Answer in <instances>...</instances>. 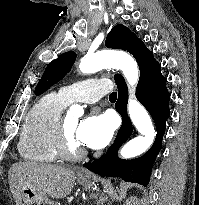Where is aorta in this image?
Here are the masks:
<instances>
[{
  "mask_svg": "<svg viewBox=\"0 0 199 205\" xmlns=\"http://www.w3.org/2000/svg\"><path fill=\"white\" fill-rule=\"evenodd\" d=\"M104 68L120 69L131 89H134L138 83V64L132 56L123 51L103 50L86 54L79 64V69L84 74L95 73ZM70 112L80 115L83 109L78 105H73ZM128 113L141 136L130 140L121 148L122 158H133L146 152L153 144L156 135L148 112L134 97L129 100Z\"/></svg>",
  "mask_w": 199,
  "mask_h": 205,
  "instance_id": "aorta-1",
  "label": "aorta"
}]
</instances>
